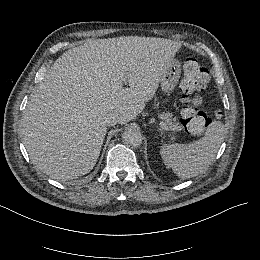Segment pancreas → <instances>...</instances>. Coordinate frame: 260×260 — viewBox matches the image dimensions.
Returning a JSON list of instances; mask_svg holds the SVG:
<instances>
[{
  "label": "pancreas",
  "mask_w": 260,
  "mask_h": 260,
  "mask_svg": "<svg viewBox=\"0 0 260 260\" xmlns=\"http://www.w3.org/2000/svg\"><path fill=\"white\" fill-rule=\"evenodd\" d=\"M160 118L171 128L173 131H181L183 126L172 117V114L166 113L162 114Z\"/></svg>",
  "instance_id": "1"
}]
</instances>
